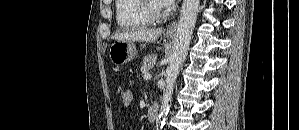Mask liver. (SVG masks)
I'll list each match as a JSON object with an SVG mask.
<instances>
[{"label": "liver", "mask_w": 299, "mask_h": 130, "mask_svg": "<svg viewBox=\"0 0 299 130\" xmlns=\"http://www.w3.org/2000/svg\"><path fill=\"white\" fill-rule=\"evenodd\" d=\"M161 34V28H138L117 33L112 38L119 41H142L153 43Z\"/></svg>", "instance_id": "obj_1"}]
</instances>
